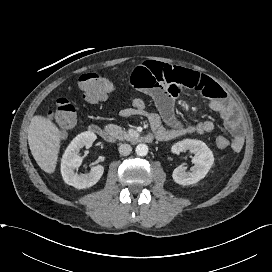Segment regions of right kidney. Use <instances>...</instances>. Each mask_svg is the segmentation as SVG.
<instances>
[{
	"label": "right kidney",
	"instance_id": "1",
	"mask_svg": "<svg viewBox=\"0 0 272 272\" xmlns=\"http://www.w3.org/2000/svg\"><path fill=\"white\" fill-rule=\"evenodd\" d=\"M96 140L93 132L86 131L77 135L65 150L61 159V174L63 180L68 185L77 189L89 188L95 185L103 175L104 167L102 165L94 166L90 173L77 174L74 169H78L83 158L79 155L82 147H91Z\"/></svg>",
	"mask_w": 272,
	"mask_h": 272
}]
</instances>
